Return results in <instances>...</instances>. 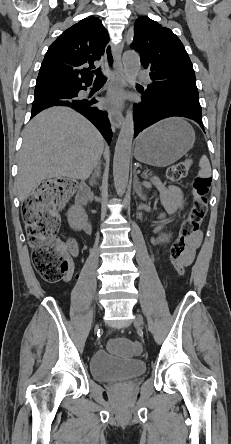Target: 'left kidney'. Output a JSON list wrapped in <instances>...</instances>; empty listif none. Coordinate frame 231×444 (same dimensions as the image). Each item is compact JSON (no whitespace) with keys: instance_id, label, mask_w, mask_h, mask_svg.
Returning <instances> with one entry per match:
<instances>
[{"instance_id":"left-kidney-1","label":"left kidney","mask_w":231,"mask_h":444,"mask_svg":"<svg viewBox=\"0 0 231 444\" xmlns=\"http://www.w3.org/2000/svg\"><path fill=\"white\" fill-rule=\"evenodd\" d=\"M162 237H163V241H169L170 234L169 235L168 234H162Z\"/></svg>"}]
</instances>
